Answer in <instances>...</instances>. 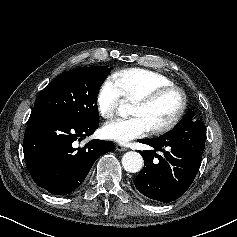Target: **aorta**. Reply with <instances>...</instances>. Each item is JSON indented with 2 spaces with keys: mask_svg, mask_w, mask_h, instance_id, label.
I'll use <instances>...</instances> for the list:
<instances>
[{
  "mask_svg": "<svg viewBox=\"0 0 237 237\" xmlns=\"http://www.w3.org/2000/svg\"><path fill=\"white\" fill-rule=\"evenodd\" d=\"M127 106L121 105L119 106V112L121 115L127 114ZM143 158L142 156L135 151H129L125 153L122 157V165L123 168L130 173H136L140 171L143 167Z\"/></svg>",
  "mask_w": 237,
  "mask_h": 237,
  "instance_id": "obj_1",
  "label": "aorta"
}]
</instances>
